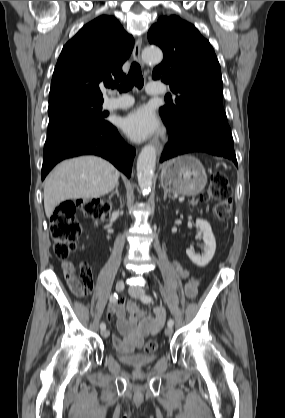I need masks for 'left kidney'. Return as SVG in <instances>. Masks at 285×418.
Wrapping results in <instances>:
<instances>
[{"mask_svg": "<svg viewBox=\"0 0 285 418\" xmlns=\"http://www.w3.org/2000/svg\"><path fill=\"white\" fill-rule=\"evenodd\" d=\"M196 227L200 229L204 242V253L196 254L192 248L186 250L190 260L199 267L206 266L213 258L216 250V240L211 225L203 219H196Z\"/></svg>", "mask_w": 285, "mask_h": 418, "instance_id": "5707ae66", "label": "left kidney"}]
</instances>
